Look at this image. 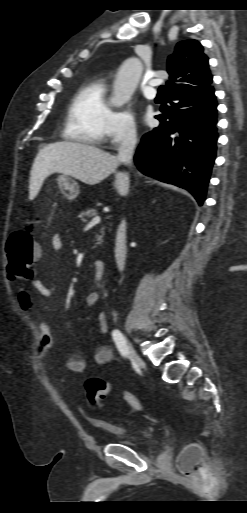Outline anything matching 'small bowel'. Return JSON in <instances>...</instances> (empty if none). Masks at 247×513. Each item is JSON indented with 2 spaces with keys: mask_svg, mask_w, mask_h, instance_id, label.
I'll return each instance as SVG.
<instances>
[{
  "mask_svg": "<svg viewBox=\"0 0 247 513\" xmlns=\"http://www.w3.org/2000/svg\"><path fill=\"white\" fill-rule=\"evenodd\" d=\"M63 240L60 234H54L51 238V246L54 251L61 250ZM33 289L43 297H50L54 293V287L46 284L40 279L32 276L30 278ZM19 302L21 306L30 308L32 305V298L30 293L25 288H20L19 291ZM100 302V295L97 292H90L85 297V304L88 307L96 306ZM98 330L101 334H105L108 330V321L106 314L100 312L97 316ZM40 339L38 345V353L42 360H47L52 354L53 348V334L49 324L45 321H41L39 324ZM113 352L106 346H99L94 353V362L96 365H106L112 362ZM63 367L72 373H82L86 369L85 360L79 355H71L68 357L63 364Z\"/></svg>",
  "mask_w": 247,
  "mask_h": 513,
  "instance_id": "1",
  "label": "small bowel"
}]
</instances>
